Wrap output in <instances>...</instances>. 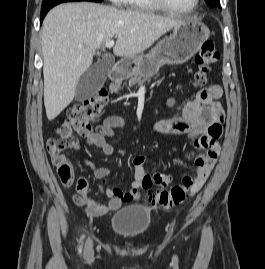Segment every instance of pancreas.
<instances>
[{"mask_svg": "<svg viewBox=\"0 0 265 269\" xmlns=\"http://www.w3.org/2000/svg\"><path fill=\"white\" fill-rule=\"evenodd\" d=\"M148 79L144 78L142 80V76L137 75V74H130V80H129V87H133L136 84L141 83V81H147ZM119 88V83H117V85L114 86V90Z\"/></svg>", "mask_w": 265, "mask_h": 269, "instance_id": "obj_1", "label": "pancreas"}]
</instances>
